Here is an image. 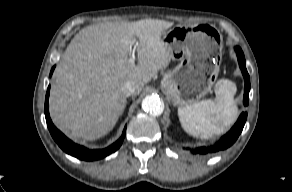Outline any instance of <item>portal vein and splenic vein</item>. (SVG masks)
Wrapping results in <instances>:
<instances>
[{
	"instance_id": "obj_1",
	"label": "portal vein and splenic vein",
	"mask_w": 292,
	"mask_h": 192,
	"mask_svg": "<svg viewBox=\"0 0 292 192\" xmlns=\"http://www.w3.org/2000/svg\"><path fill=\"white\" fill-rule=\"evenodd\" d=\"M135 41H136L135 39L132 40V42H131L132 45H134ZM128 61H129L130 64H134L135 63V55L132 54V56L129 58Z\"/></svg>"
}]
</instances>
